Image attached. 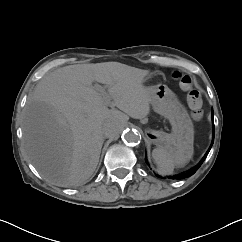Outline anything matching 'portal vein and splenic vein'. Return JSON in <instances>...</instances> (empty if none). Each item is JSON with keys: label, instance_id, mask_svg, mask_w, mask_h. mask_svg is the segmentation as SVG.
<instances>
[{"label": "portal vein and splenic vein", "instance_id": "obj_1", "mask_svg": "<svg viewBox=\"0 0 242 242\" xmlns=\"http://www.w3.org/2000/svg\"><path fill=\"white\" fill-rule=\"evenodd\" d=\"M97 90L102 94L105 102L107 105L111 104V98L109 97L108 93L105 90V87H101V86H96Z\"/></svg>", "mask_w": 242, "mask_h": 242}]
</instances>
